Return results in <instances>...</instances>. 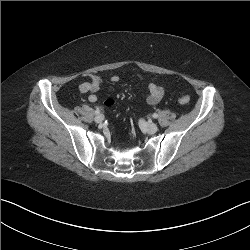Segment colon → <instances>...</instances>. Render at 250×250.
<instances>
[{
	"instance_id": "obj_1",
	"label": "colon",
	"mask_w": 250,
	"mask_h": 250,
	"mask_svg": "<svg viewBox=\"0 0 250 250\" xmlns=\"http://www.w3.org/2000/svg\"><path fill=\"white\" fill-rule=\"evenodd\" d=\"M190 101V96L189 95H183L179 97V102L182 104H186ZM113 101L112 100H107L106 105H112Z\"/></svg>"
}]
</instances>
